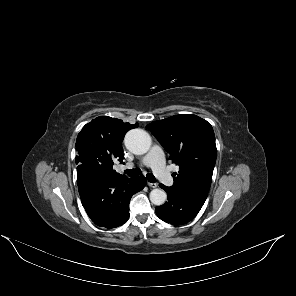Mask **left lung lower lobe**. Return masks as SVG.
<instances>
[{
  "instance_id": "obj_1",
  "label": "left lung lower lobe",
  "mask_w": 296,
  "mask_h": 296,
  "mask_svg": "<svg viewBox=\"0 0 296 296\" xmlns=\"http://www.w3.org/2000/svg\"><path fill=\"white\" fill-rule=\"evenodd\" d=\"M167 193L168 201L156 207L157 216L174 225L191 221L202 208L207 195L205 193L179 192L163 184L159 185Z\"/></svg>"
}]
</instances>
